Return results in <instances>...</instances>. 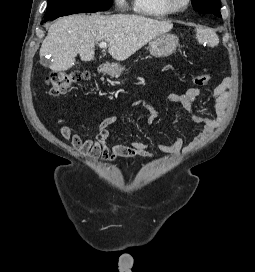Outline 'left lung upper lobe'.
<instances>
[{"mask_svg":"<svg viewBox=\"0 0 255 272\" xmlns=\"http://www.w3.org/2000/svg\"><path fill=\"white\" fill-rule=\"evenodd\" d=\"M192 5L199 13H211L221 17L220 0H192Z\"/></svg>","mask_w":255,"mask_h":272,"instance_id":"5c2ea615","label":"left lung upper lobe"}]
</instances>
